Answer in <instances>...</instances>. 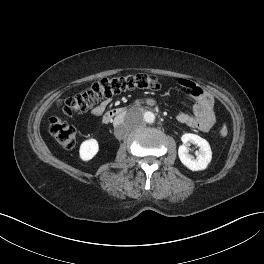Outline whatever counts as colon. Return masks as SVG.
<instances>
[{
	"mask_svg": "<svg viewBox=\"0 0 264 264\" xmlns=\"http://www.w3.org/2000/svg\"><path fill=\"white\" fill-rule=\"evenodd\" d=\"M159 87L158 78L150 74L141 73L104 78L88 89L63 99L62 117L55 116L50 119V134L62 147L70 149L76 144L77 131L65 118L77 112H86L100 101L111 98L123 91L132 89L157 90ZM220 134L223 137L228 135V127L225 124L221 126Z\"/></svg>",
	"mask_w": 264,
	"mask_h": 264,
	"instance_id": "1",
	"label": "colon"
}]
</instances>
